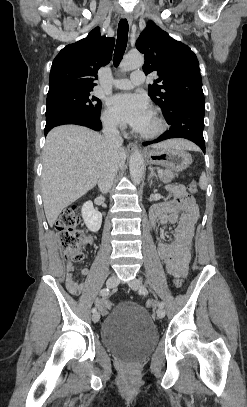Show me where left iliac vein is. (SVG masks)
<instances>
[{
	"mask_svg": "<svg viewBox=\"0 0 247 407\" xmlns=\"http://www.w3.org/2000/svg\"><path fill=\"white\" fill-rule=\"evenodd\" d=\"M129 286L132 290L137 291L142 286V281L139 278H135L134 280L129 282ZM156 313L158 318H164L165 316V311L163 308H158Z\"/></svg>",
	"mask_w": 247,
	"mask_h": 407,
	"instance_id": "obj_1",
	"label": "left iliac vein"
}]
</instances>
